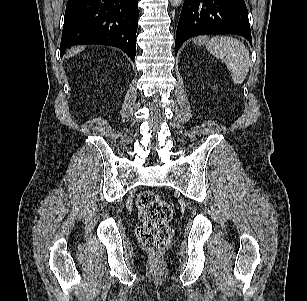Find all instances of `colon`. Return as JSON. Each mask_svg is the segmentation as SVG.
Masks as SVG:
<instances>
[{"instance_id": "colon-1", "label": "colon", "mask_w": 307, "mask_h": 301, "mask_svg": "<svg viewBox=\"0 0 307 301\" xmlns=\"http://www.w3.org/2000/svg\"><path fill=\"white\" fill-rule=\"evenodd\" d=\"M136 206L141 224L136 230L142 245L151 253H159L169 244L173 231L169 223L173 216L170 204L156 192L142 191Z\"/></svg>"}]
</instances>
